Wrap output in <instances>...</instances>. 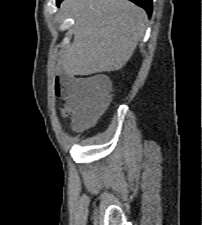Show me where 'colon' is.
I'll return each mask as SVG.
<instances>
[{
  "mask_svg": "<svg viewBox=\"0 0 202 225\" xmlns=\"http://www.w3.org/2000/svg\"><path fill=\"white\" fill-rule=\"evenodd\" d=\"M56 91L59 94L70 92L83 96L86 99V106L91 114L103 111L111 99L112 86L97 78H68L57 81ZM63 115H69L63 111Z\"/></svg>",
  "mask_w": 202,
  "mask_h": 225,
  "instance_id": "colon-1",
  "label": "colon"
}]
</instances>
